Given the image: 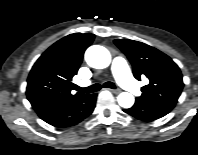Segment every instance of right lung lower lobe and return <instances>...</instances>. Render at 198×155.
<instances>
[{
    "mask_svg": "<svg viewBox=\"0 0 198 155\" xmlns=\"http://www.w3.org/2000/svg\"><path fill=\"white\" fill-rule=\"evenodd\" d=\"M97 94H82L72 101L54 106L38 113L48 124L56 127L76 125L94 110Z\"/></svg>",
    "mask_w": 198,
    "mask_h": 155,
    "instance_id": "obj_1",
    "label": "right lung lower lobe"
}]
</instances>
